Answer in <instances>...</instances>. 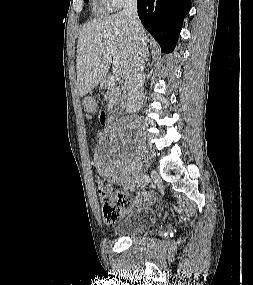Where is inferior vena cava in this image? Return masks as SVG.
<instances>
[{"label":"inferior vena cava","instance_id":"obj_1","mask_svg":"<svg viewBox=\"0 0 253 285\" xmlns=\"http://www.w3.org/2000/svg\"><path fill=\"white\" fill-rule=\"evenodd\" d=\"M123 14L130 24L133 38L124 71L128 94L126 111L133 114L141 108L144 97L142 73L146 56V40L144 28L138 18L137 0H125Z\"/></svg>","mask_w":253,"mask_h":285}]
</instances>
